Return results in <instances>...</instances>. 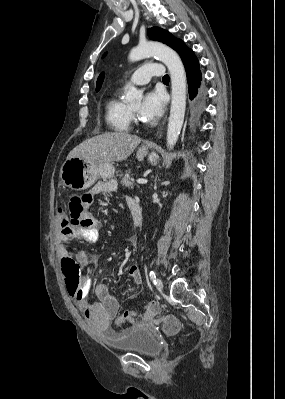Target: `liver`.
Listing matches in <instances>:
<instances>
[{
  "mask_svg": "<svg viewBox=\"0 0 285 399\" xmlns=\"http://www.w3.org/2000/svg\"><path fill=\"white\" fill-rule=\"evenodd\" d=\"M141 139L126 132H106L83 141L67 156L79 157L89 163L123 161L127 159Z\"/></svg>",
  "mask_w": 285,
  "mask_h": 399,
  "instance_id": "1",
  "label": "liver"
}]
</instances>
